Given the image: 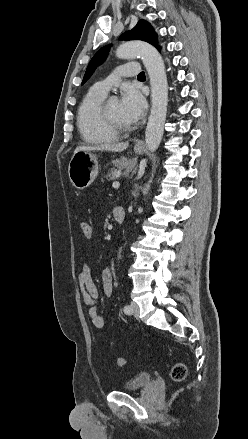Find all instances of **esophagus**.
Masks as SVG:
<instances>
[{"label": "esophagus", "instance_id": "1", "mask_svg": "<svg viewBox=\"0 0 248 439\" xmlns=\"http://www.w3.org/2000/svg\"><path fill=\"white\" fill-rule=\"evenodd\" d=\"M142 146V143L138 142L136 143V147L140 148Z\"/></svg>", "mask_w": 248, "mask_h": 439}]
</instances>
